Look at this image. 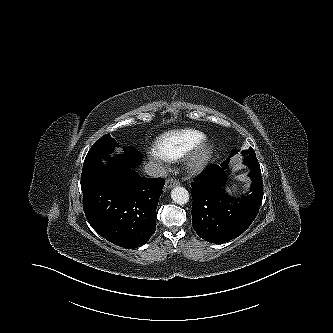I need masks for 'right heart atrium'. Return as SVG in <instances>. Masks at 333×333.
<instances>
[{
  "mask_svg": "<svg viewBox=\"0 0 333 333\" xmlns=\"http://www.w3.org/2000/svg\"><path fill=\"white\" fill-rule=\"evenodd\" d=\"M154 160H157L159 162H165L167 160H165L164 158L160 157L159 155H157L156 153L152 154L151 156Z\"/></svg>",
  "mask_w": 333,
  "mask_h": 333,
  "instance_id": "right-heart-atrium-1",
  "label": "right heart atrium"
}]
</instances>
